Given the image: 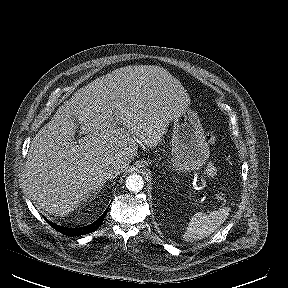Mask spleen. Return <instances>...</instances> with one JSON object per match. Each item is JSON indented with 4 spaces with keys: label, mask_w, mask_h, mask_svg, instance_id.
Here are the masks:
<instances>
[{
    "label": "spleen",
    "mask_w": 288,
    "mask_h": 288,
    "mask_svg": "<svg viewBox=\"0 0 288 288\" xmlns=\"http://www.w3.org/2000/svg\"><path fill=\"white\" fill-rule=\"evenodd\" d=\"M228 216V210L219 209L210 213L197 212L194 214L182 238L186 242H194L211 235L223 224Z\"/></svg>",
    "instance_id": "spleen-1"
}]
</instances>
